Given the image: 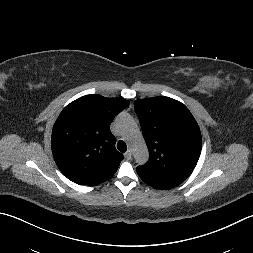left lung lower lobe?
<instances>
[{
	"instance_id": "0a47b994",
	"label": "left lung lower lobe",
	"mask_w": 253,
	"mask_h": 253,
	"mask_svg": "<svg viewBox=\"0 0 253 253\" xmlns=\"http://www.w3.org/2000/svg\"><path fill=\"white\" fill-rule=\"evenodd\" d=\"M148 185H150L151 187L156 188V189H170V188L175 187L172 185L161 184V183H153V184H148Z\"/></svg>"
}]
</instances>
